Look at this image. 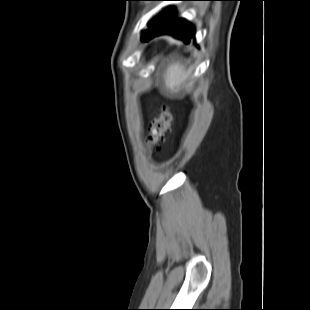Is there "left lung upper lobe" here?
Returning <instances> with one entry per match:
<instances>
[{"label":"left lung upper lobe","instance_id":"1","mask_svg":"<svg viewBox=\"0 0 310 310\" xmlns=\"http://www.w3.org/2000/svg\"><path fill=\"white\" fill-rule=\"evenodd\" d=\"M175 20L171 10H166L154 17L149 25V30L146 32L144 39L151 33L170 25Z\"/></svg>","mask_w":310,"mask_h":310}]
</instances>
